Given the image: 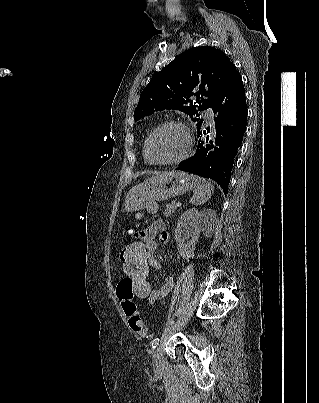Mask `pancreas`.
<instances>
[{
    "mask_svg": "<svg viewBox=\"0 0 319 403\" xmlns=\"http://www.w3.org/2000/svg\"><path fill=\"white\" fill-rule=\"evenodd\" d=\"M176 209H177V206L172 202L171 204H168L167 206H166V210H165V212H164V216L165 217H171L172 216V214L176 211Z\"/></svg>",
    "mask_w": 319,
    "mask_h": 403,
    "instance_id": "cf45deb5",
    "label": "pancreas"
}]
</instances>
